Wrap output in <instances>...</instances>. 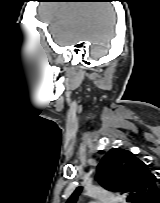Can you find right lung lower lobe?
I'll return each mask as SVG.
<instances>
[{"mask_svg":"<svg viewBox=\"0 0 160 203\" xmlns=\"http://www.w3.org/2000/svg\"><path fill=\"white\" fill-rule=\"evenodd\" d=\"M146 203H160V191L150 198Z\"/></svg>","mask_w":160,"mask_h":203,"instance_id":"98d812e1","label":"right lung lower lobe"}]
</instances>
